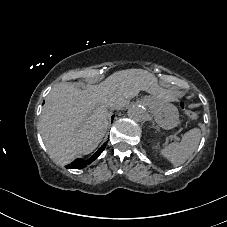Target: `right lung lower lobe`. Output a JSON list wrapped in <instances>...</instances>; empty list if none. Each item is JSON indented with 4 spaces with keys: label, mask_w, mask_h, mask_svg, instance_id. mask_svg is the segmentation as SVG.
<instances>
[{
    "label": "right lung lower lobe",
    "mask_w": 227,
    "mask_h": 227,
    "mask_svg": "<svg viewBox=\"0 0 227 227\" xmlns=\"http://www.w3.org/2000/svg\"><path fill=\"white\" fill-rule=\"evenodd\" d=\"M107 143H104L96 153H94L89 159H82L78 158L74 160L70 165H67L66 167L69 169H81L86 167L88 164L93 162L105 149Z\"/></svg>",
    "instance_id": "98d812e1"
}]
</instances>
